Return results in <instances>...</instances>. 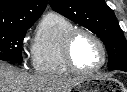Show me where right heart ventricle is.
<instances>
[{"label":"right heart ventricle","mask_w":127,"mask_h":92,"mask_svg":"<svg viewBox=\"0 0 127 92\" xmlns=\"http://www.w3.org/2000/svg\"><path fill=\"white\" fill-rule=\"evenodd\" d=\"M73 24L60 14L50 12L40 21L33 45L32 62L35 72L54 76L70 70L63 59V41Z\"/></svg>","instance_id":"1"}]
</instances>
